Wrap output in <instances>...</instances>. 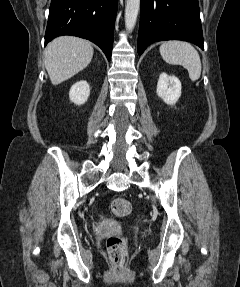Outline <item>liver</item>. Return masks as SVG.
Instances as JSON below:
<instances>
[{
    "mask_svg": "<svg viewBox=\"0 0 240 287\" xmlns=\"http://www.w3.org/2000/svg\"><path fill=\"white\" fill-rule=\"evenodd\" d=\"M90 42L73 36L51 41L45 49L44 64L53 85H58L88 66L93 57Z\"/></svg>",
    "mask_w": 240,
    "mask_h": 287,
    "instance_id": "1",
    "label": "liver"
}]
</instances>
